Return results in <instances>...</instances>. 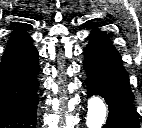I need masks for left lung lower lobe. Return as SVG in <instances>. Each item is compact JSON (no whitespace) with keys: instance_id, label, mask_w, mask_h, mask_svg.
<instances>
[{"instance_id":"0a47b994","label":"left lung lower lobe","mask_w":142,"mask_h":128,"mask_svg":"<svg viewBox=\"0 0 142 128\" xmlns=\"http://www.w3.org/2000/svg\"><path fill=\"white\" fill-rule=\"evenodd\" d=\"M84 57L88 96H102L108 104L109 115L103 128H138L134 95L121 56L108 37L96 28L90 34Z\"/></svg>"}]
</instances>
